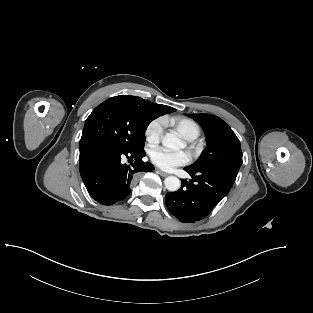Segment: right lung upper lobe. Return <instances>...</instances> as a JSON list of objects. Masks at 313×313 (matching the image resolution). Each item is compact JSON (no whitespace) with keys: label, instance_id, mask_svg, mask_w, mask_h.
Wrapping results in <instances>:
<instances>
[{"label":"right lung upper lobe","instance_id":"1","mask_svg":"<svg viewBox=\"0 0 313 313\" xmlns=\"http://www.w3.org/2000/svg\"><path fill=\"white\" fill-rule=\"evenodd\" d=\"M135 98L142 99L140 97H135ZM142 100H144V99H142ZM149 105H150L151 109L159 116L176 111L174 108L166 106V105L154 104V103H150V102H149Z\"/></svg>","mask_w":313,"mask_h":313}]
</instances>
